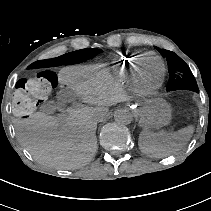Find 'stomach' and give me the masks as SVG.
<instances>
[{"mask_svg": "<svg viewBox=\"0 0 211 211\" xmlns=\"http://www.w3.org/2000/svg\"><path fill=\"white\" fill-rule=\"evenodd\" d=\"M139 123L145 129H158L170 122L171 109L163 99H155L137 110Z\"/></svg>", "mask_w": 211, "mask_h": 211, "instance_id": "1", "label": "stomach"}]
</instances>
